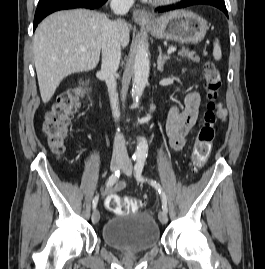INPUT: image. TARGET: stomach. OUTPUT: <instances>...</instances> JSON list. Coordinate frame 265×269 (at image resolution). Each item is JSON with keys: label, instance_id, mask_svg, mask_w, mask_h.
Masks as SVG:
<instances>
[{"label": "stomach", "instance_id": "stomach-1", "mask_svg": "<svg viewBox=\"0 0 265 269\" xmlns=\"http://www.w3.org/2000/svg\"><path fill=\"white\" fill-rule=\"evenodd\" d=\"M145 27L157 38L189 44L200 42L208 30L207 22L189 10L169 12L157 17Z\"/></svg>", "mask_w": 265, "mask_h": 269}]
</instances>
